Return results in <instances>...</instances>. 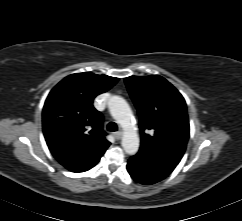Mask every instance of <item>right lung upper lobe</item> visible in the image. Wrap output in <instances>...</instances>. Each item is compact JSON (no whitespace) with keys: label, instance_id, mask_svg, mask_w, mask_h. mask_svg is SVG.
<instances>
[{"label":"right lung upper lobe","instance_id":"1","mask_svg":"<svg viewBox=\"0 0 242 221\" xmlns=\"http://www.w3.org/2000/svg\"><path fill=\"white\" fill-rule=\"evenodd\" d=\"M117 81L107 75L76 73L49 93L42 113L43 133L53 156L68 170H89L109 147L102 131L103 116L93 100Z\"/></svg>","mask_w":242,"mask_h":221}]
</instances>
